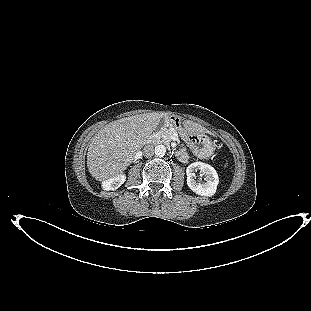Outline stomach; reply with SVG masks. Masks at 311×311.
I'll list each match as a JSON object with an SVG mask.
<instances>
[{
    "label": "stomach",
    "mask_w": 311,
    "mask_h": 311,
    "mask_svg": "<svg viewBox=\"0 0 311 311\" xmlns=\"http://www.w3.org/2000/svg\"><path fill=\"white\" fill-rule=\"evenodd\" d=\"M168 121L186 140L193 153L200 158H208L214 153L212 140L201 132L191 131L179 117L167 116Z\"/></svg>",
    "instance_id": "0dacf381"
}]
</instances>
